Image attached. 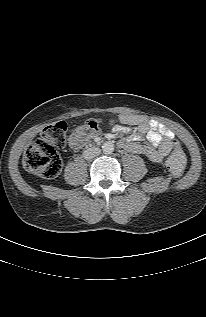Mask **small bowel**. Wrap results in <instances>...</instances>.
<instances>
[{"label": "small bowel", "mask_w": 206, "mask_h": 317, "mask_svg": "<svg viewBox=\"0 0 206 317\" xmlns=\"http://www.w3.org/2000/svg\"><path fill=\"white\" fill-rule=\"evenodd\" d=\"M118 121L119 124L113 125V130L126 135V140L120 142V145L132 153L146 156L152 162L160 163L173 149L180 148L170 129L145 116L123 113L118 117ZM130 126H136L138 133L133 132ZM142 135L146 136L151 146L137 143ZM84 142L77 140L74 134L70 139V145L74 149L80 148Z\"/></svg>", "instance_id": "c3829d8e"}]
</instances>
